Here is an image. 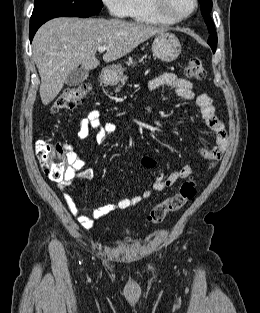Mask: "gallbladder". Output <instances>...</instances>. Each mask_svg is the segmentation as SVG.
<instances>
[{"instance_id": "1", "label": "gallbladder", "mask_w": 260, "mask_h": 313, "mask_svg": "<svg viewBox=\"0 0 260 313\" xmlns=\"http://www.w3.org/2000/svg\"><path fill=\"white\" fill-rule=\"evenodd\" d=\"M89 71L84 70L83 68H77L72 71L66 78L65 84L67 86H77L85 81L88 77Z\"/></svg>"}]
</instances>
